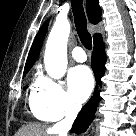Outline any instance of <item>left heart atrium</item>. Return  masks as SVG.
Here are the masks:
<instances>
[{"label":"left heart atrium","mask_w":136,"mask_h":136,"mask_svg":"<svg viewBox=\"0 0 136 136\" xmlns=\"http://www.w3.org/2000/svg\"><path fill=\"white\" fill-rule=\"evenodd\" d=\"M94 85L91 71L86 66L73 68L68 76V87L71 97L77 102L85 101Z\"/></svg>","instance_id":"obj_1"}]
</instances>
